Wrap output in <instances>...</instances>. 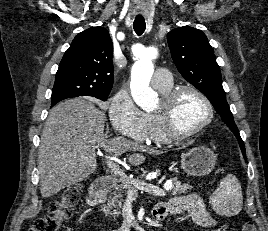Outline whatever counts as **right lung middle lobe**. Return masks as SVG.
<instances>
[{
	"label": "right lung middle lobe",
	"mask_w": 268,
	"mask_h": 231,
	"mask_svg": "<svg viewBox=\"0 0 268 231\" xmlns=\"http://www.w3.org/2000/svg\"><path fill=\"white\" fill-rule=\"evenodd\" d=\"M65 94H66L65 90H63L62 88H53L51 99L52 100L59 99V98L63 97ZM94 97H96L102 101H106L108 95H101V96H94Z\"/></svg>",
	"instance_id": "obj_1"
}]
</instances>
